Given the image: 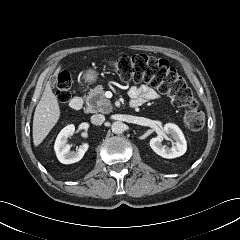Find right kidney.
I'll return each mask as SVG.
<instances>
[{
	"mask_svg": "<svg viewBox=\"0 0 240 240\" xmlns=\"http://www.w3.org/2000/svg\"><path fill=\"white\" fill-rule=\"evenodd\" d=\"M75 126L68 125L58 134L54 149L58 160L63 164H72L80 161L88 150V143L82 145L76 151H70V145L67 144L68 138L74 134Z\"/></svg>",
	"mask_w": 240,
	"mask_h": 240,
	"instance_id": "obj_1",
	"label": "right kidney"
}]
</instances>
